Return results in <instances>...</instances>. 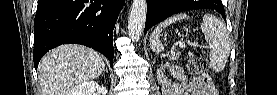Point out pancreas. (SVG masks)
Wrapping results in <instances>:
<instances>
[{
  "instance_id": "pancreas-1",
  "label": "pancreas",
  "mask_w": 277,
  "mask_h": 95,
  "mask_svg": "<svg viewBox=\"0 0 277 95\" xmlns=\"http://www.w3.org/2000/svg\"><path fill=\"white\" fill-rule=\"evenodd\" d=\"M178 58H179V54H176V53H172L170 56L171 60H177Z\"/></svg>"
}]
</instances>
